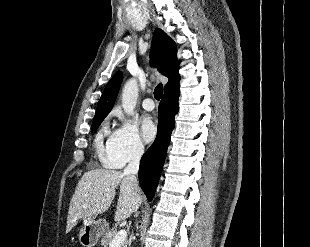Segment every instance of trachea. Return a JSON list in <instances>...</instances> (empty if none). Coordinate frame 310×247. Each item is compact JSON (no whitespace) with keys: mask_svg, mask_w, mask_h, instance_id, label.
<instances>
[{"mask_svg":"<svg viewBox=\"0 0 310 247\" xmlns=\"http://www.w3.org/2000/svg\"><path fill=\"white\" fill-rule=\"evenodd\" d=\"M163 94V85L159 83L154 90V97L157 100H160Z\"/></svg>","mask_w":310,"mask_h":247,"instance_id":"obj_1","label":"trachea"}]
</instances>
